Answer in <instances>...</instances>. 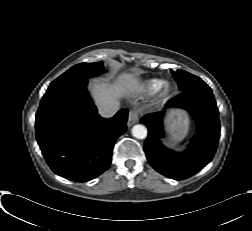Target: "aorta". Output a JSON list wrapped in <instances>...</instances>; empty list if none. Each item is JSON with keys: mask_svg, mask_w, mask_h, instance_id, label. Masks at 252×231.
<instances>
[{"mask_svg": "<svg viewBox=\"0 0 252 231\" xmlns=\"http://www.w3.org/2000/svg\"><path fill=\"white\" fill-rule=\"evenodd\" d=\"M131 132L132 135L137 139H145L147 137V128L144 125H134Z\"/></svg>", "mask_w": 252, "mask_h": 231, "instance_id": "aorta-1", "label": "aorta"}]
</instances>
